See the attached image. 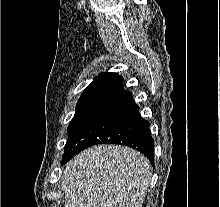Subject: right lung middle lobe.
<instances>
[{"label": "right lung middle lobe", "mask_w": 220, "mask_h": 207, "mask_svg": "<svg viewBox=\"0 0 220 207\" xmlns=\"http://www.w3.org/2000/svg\"><path fill=\"white\" fill-rule=\"evenodd\" d=\"M101 85L102 84L90 85L83 91L76 105L75 115L68 126V139H67L64 151H66L73 135L76 133V131L82 124L89 109L91 108L93 102L95 101V98L98 94V91Z\"/></svg>", "instance_id": "dd1d6c3e"}]
</instances>
